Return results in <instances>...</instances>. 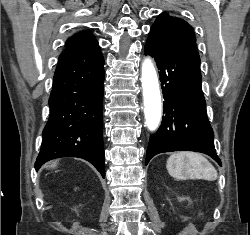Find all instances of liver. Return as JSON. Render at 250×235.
Returning <instances> with one entry per match:
<instances>
[{"label":"liver","instance_id":"obj_1","mask_svg":"<svg viewBox=\"0 0 250 235\" xmlns=\"http://www.w3.org/2000/svg\"><path fill=\"white\" fill-rule=\"evenodd\" d=\"M57 166V162H53L51 165L47 166V168H54Z\"/></svg>","mask_w":250,"mask_h":235}]
</instances>
